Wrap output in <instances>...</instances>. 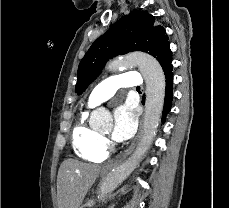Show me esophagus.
<instances>
[{
	"label": "esophagus",
	"mask_w": 229,
	"mask_h": 208,
	"mask_svg": "<svg viewBox=\"0 0 229 208\" xmlns=\"http://www.w3.org/2000/svg\"><path fill=\"white\" fill-rule=\"evenodd\" d=\"M143 123H144V119L142 118L140 120L139 123V129H138V133L136 138L134 139V141L131 143V145L129 146V148L126 150V152L123 154V156L119 157L118 159H116L115 161H112L110 163H108L106 166H104L102 168V170L105 171H111L113 168H115L122 160H124L128 155H130V153L134 150L135 146L137 145L138 141L140 140V137L142 135L143 132Z\"/></svg>",
	"instance_id": "obj_1"
}]
</instances>
